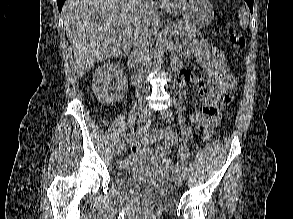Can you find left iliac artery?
Returning a JSON list of instances; mask_svg holds the SVG:
<instances>
[{
	"label": "left iliac artery",
	"mask_w": 293,
	"mask_h": 219,
	"mask_svg": "<svg viewBox=\"0 0 293 219\" xmlns=\"http://www.w3.org/2000/svg\"><path fill=\"white\" fill-rule=\"evenodd\" d=\"M175 105H176V112L178 115V121L180 123L181 135H182L181 144H180V152H179L180 159H181L182 163L187 164L188 163V147H187L186 141L184 139V127H183L184 119L182 116V109L177 101H175Z\"/></svg>",
	"instance_id": "obj_1"
}]
</instances>
